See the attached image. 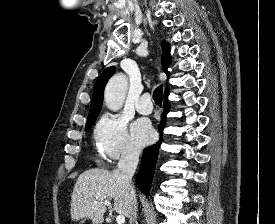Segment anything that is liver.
Here are the masks:
<instances>
[{
  "label": "liver",
  "instance_id": "1",
  "mask_svg": "<svg viewBox=\"0 0 275 224\" xmlns=\"http://www.w3.org/2000/svg\"><path fill=\"white\" fill-rule=\"evenodd\" d=\"M105 200H113L114 210L129 218L128 192L119 170L90 169L83 172L71 196L72 220L89 218L93 224H102L107 208L100 202Z\"/></svg>",
  "mask_w": 275,
  "mask_h": 224
}]
</instances>
